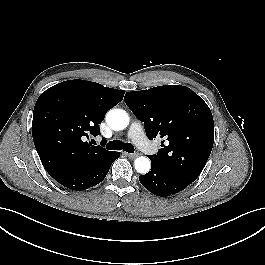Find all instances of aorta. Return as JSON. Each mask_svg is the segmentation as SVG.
I'll use <instances>...</instances> for the list:
<instances>
[{
  "instance_id": "obj_1",
  "label": "aorta",
  "mask_w": 265,
  "mask_h": 265,
  "mask_svg": "<svg viewBox=\"0 0 265 265\" xmlns=\"http://www.w3.org/2000/svg\"><path fill=\"white\" fill-rule=\"evenodd\" d=\"M129 116L122 109H112L106 114V123L116 131L123 130L129 125ZM135 170L138 173L146 174L150 171L151 162L149 158L141 156L134 161Z\"/></svg>"
}]
</instances>
